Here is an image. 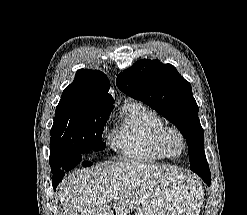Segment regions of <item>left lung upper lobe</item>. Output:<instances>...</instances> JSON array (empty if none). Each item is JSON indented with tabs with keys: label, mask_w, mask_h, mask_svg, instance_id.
Segmentation results:
<instances>
[{
	"label": "left lung upper lobe",
	"mask_w": 247,
	"mask_h": 215,
	"mask_svg": "<svg viewBox=\"0 0 247 215\" xmlns=\"http://www.w3.org/2000/svg\"><path fill=\"white\" fill-rule=\"evenodd\" d=\"M117 87L140 100L172 122L188 143L190 169L206 161L204 132L192 88L170 64L139 60L116 78Z\"/></svg>",
	"instance_id": "5c2ea615"
}]
</instances>
